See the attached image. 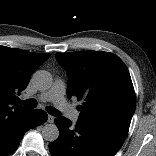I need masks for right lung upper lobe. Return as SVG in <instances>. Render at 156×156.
I'll return each instance as SVG.
<instances>
[{
    "mask_svg": "<svg viewBox=\"0 0 156 156\" xmlns=\"http://www.w3.org/2000/svg\"><path fill=\"white\" fill-rule=\"evenodd\" d=\"M49 56L0 46V117L28 109L15 104L16 94L27 87L33 72Z\"/></svg>",
    "mask_w": 156,
    "mask_h": 156,
    "instance_id": "1",
    "label": "right lung upper lobe"
}]
</instances>
